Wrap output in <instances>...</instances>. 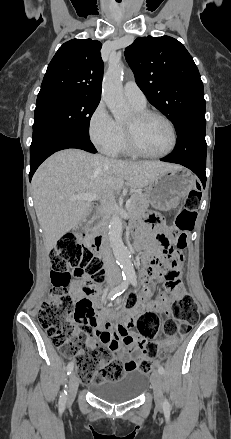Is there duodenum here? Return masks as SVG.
I'll return each mask as SVG.
<instances>
[{
	"mask_svg": "<svg viewBox=\"0 0 231 439\" xmlns=\"http://www.w3.org/2000/svg\"><path fill=\"white\" fill-rule=\"evenodd\" d=\"M91 216L85 218V220L83 222V225L77 229L78 232H82V231L85 232L86 231V229H87V227H88V225H89V223L91 221ZM102 243H103L102 235L101 234H96V235L93 236V240H92L90 246L96 252H100L101 249H102ZM144 254H145V252H144ZM144 254H143V260H144ZM147 272H148V267H147V264L144 263L143 266H142V273L144 274V273H147Z\"/></svg>",
	"mask_w": 231,
	"mask_h": 439,
	"instance_id": "1",
	"label": "duodenum"
}]
</instances>
